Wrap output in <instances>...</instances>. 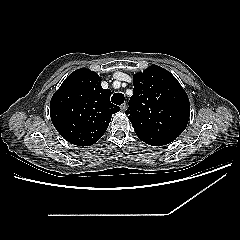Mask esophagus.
<instances>
[{
  "label": "esophagus",
  "mask_w": 240,
  "mask_h": 240,
  "mask_svg": "<svg viewBox=\"0 0 240 240\" xmlns=\"http://www.w3.org/2000/svg\"><path fill=\"white\" fill-rule=\"evenodd\" d=\"M126 108H127L126 103H123V104L120 105V109H121L122 112H124L126 110Z\"/></svg>",
  "instance_id": "1"
}]
</instances>
